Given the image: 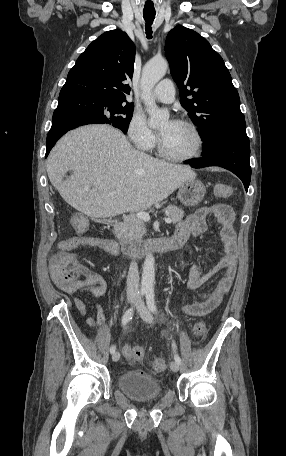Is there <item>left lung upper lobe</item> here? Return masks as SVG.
I'll list each match as a JSON object with an SVG mask.
<instances>
[{
    "instance_id": "left-lung-upper-lobe-1",
    "label": "left lung upper lobe",
    "mask_w": 286,
    "mask_h": 456,
    "mask_svg": "<svg viewBox=\"0 0 286 456\" xmlns=\"http://www.w3.org/2000/svg\"><path fill=\"white\" fill-rule=\"evenodd\" d=\"M165 55L181 91L180 102L199 128L204 145L222 135L247 137L238 92L222 57L209 42L179 25L167 35Z\"/></svg>"
}]
</instances>
